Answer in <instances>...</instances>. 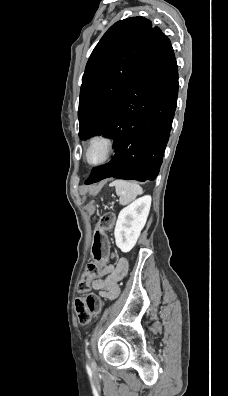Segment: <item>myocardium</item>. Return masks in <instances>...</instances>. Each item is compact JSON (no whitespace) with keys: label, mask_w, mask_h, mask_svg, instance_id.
<instances>
[{"label":"myocardium","mask_w":228,"mask_h":396,"mask_svg":"<svg viewBox=\"0 0 228 396\" xmlns=\"http://www.w3.org/2000/svg\"><path fill=\"white\" fill-rule=\"evenodd\" d=\"M100 145L102 147V155L100 158L93 160L90 157L92 149ZM114 151V141L107 135L97 134L90 138L88 141L86 151H85V159L89 165L92 166H100L107 163L113 155Z\"/></svg>","instance_id":"1"}]
</instances>
